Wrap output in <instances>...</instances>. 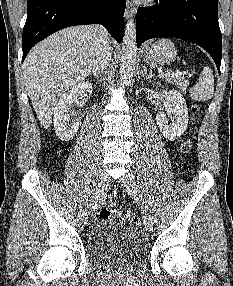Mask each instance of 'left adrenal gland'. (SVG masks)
I'll return each mask as SVG.
<instances>
[{"label": "left adrenal gland", "mask_w": 233, "mask_h": 286, "mask_svg": "<svg viewBox=\"0 0 233 286\" xmlns=\"http://www.w3.org/2000/svg\"><path fill=\"white\" fill-rule=\"evenodd\" d=\"M141 76H142V77H145L146 79H151V78L153 77L152 70H150V72L148 73V72H147L146 65H144V66H143L142 73H141Z\"/></svg>", "instance_id": "a2214340"}]
</instances>
